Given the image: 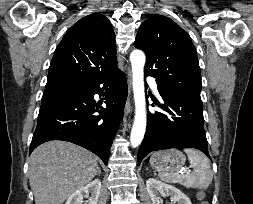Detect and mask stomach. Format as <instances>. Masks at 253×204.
<instances>
[{"instance_id":"obj_1","label":"stomach","mask_w":253,"mask_h":204,"mask_svg":"<svg viewBox=\"0 0 253 204\" xmlns=\"http://www.w3.org/2000/svg\"><path fill=\"white\" fill-rule=\"evenodd\" d=\"M185 155L177 150L170 149L152 154L150 165L159 172L174 173L185 164Z\"/></svg>"}]
</instances>
